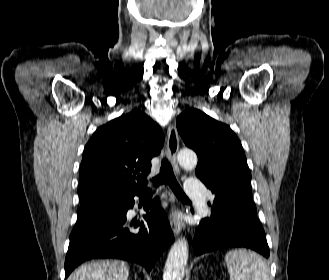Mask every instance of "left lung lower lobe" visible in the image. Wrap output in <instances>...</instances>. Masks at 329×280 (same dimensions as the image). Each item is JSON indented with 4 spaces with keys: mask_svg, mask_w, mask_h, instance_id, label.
I'll return each instance as SVG.
<instances>
[{
    "mask_svg": "<svg viewBox=\"0 0 329 280\" xmlns=\"http://www.w3.org/2000/svg\"><path fill=\"white\" fill-rule=\"evenodd\" d=\"M225 247H247L269 257L266 235L249 192L231 195L226 201H215L211 216L200 221L194 238L195 254Z\"/></svg>",
    "mask_w": 329,
    "mask_h": 280,
    "instance_id": "left-lung-lower-lobe-1",
    "label": "left lung lower lobe"
}]
</instances>
